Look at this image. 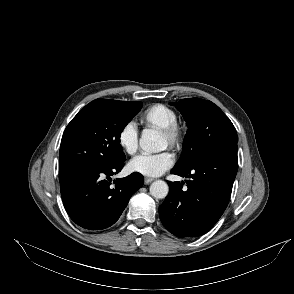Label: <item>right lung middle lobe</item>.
I'll list each match as a JSON object with an SVG mask.
<instances>
[{"label":"right lung middle lobe","instance_id":"right-lung-middle-lobe-1","mask_svg":"<svg viewBox=\"0 0 294 294\" xmlns=\"http://www.w3.org/2000/svg\"><path fill=\"white\" fill-rule=\"evenodd\" d=\"M141 108V102L107 99H96L86 105L64 131L59 172L125 161L120 135Z\"/></svg>","mask_w":294,"mask_h":294}]
</instances>
